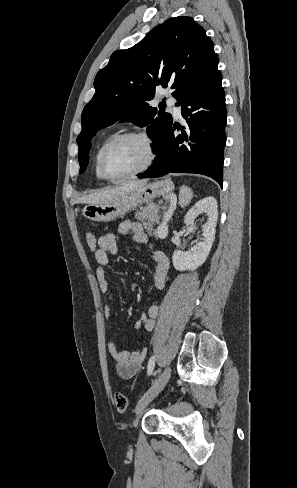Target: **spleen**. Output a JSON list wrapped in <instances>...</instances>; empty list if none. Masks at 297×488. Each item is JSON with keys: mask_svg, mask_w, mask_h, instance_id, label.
Here are the masks:
<instances>
[{"mask_svg": "<svg viewBox=\"0 0 297 488\" xmlns=\"http://www.w3.org/2000/svg\"><path fill=\"white\" fill-rule=\"evenodd\" d=\"M193 197V193L187 188L182 187L180 191V205L182 207L186 206Z\"/></svg>", "mask_w": 297, "mask_h": 488, "instance_id": "spleen-1", "label": "spleen"}]
</instances>
